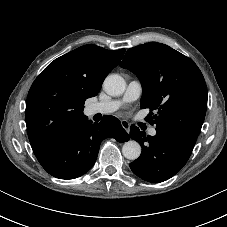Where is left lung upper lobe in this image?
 Instances as JSON below:
<instances>
[{
    "instance_id": "obj_1",
    "label": "left lung upper lobe",
    "mask_w": 227,
    "mask_h": 227,
    "mask_svg": "<svg viewBox=\"0 0 227 227\" xmlns=\"http://www.w3.org/2000/svg\"><path fill=\"white\" fill-rule=\"evenodd\" d=\"M140 79L141 107L157 130L195 145L207 109V87L193 60L171 47L150 42L129 49L120 63Z\"/></svg>"
}]
</instances>
